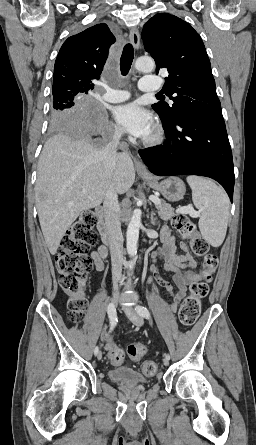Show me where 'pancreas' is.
<instances>
[{"label": "pancreas", "mask_w": 256, "mask_h": 445, "mask_svg": "<svg viewBox=\"0 0 256 445\" xmlns=\"http://www.w3.org/2000/svg\"><path fill=\"white\" fill-rule=\"evenodd\" d=\"M156 208L158 209L161 218L165 221L172 219L175 215L171 205L164 201H162L161 204H156Z\"/></svg>", "instance_id": "pancreas-1"}]
</instances>
